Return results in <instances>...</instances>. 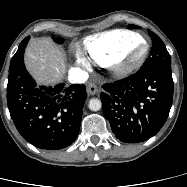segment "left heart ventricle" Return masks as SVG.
Here are the masks:
<instances>
[{"instance_id": "b2bd125f", "label": "left heart ventricle", "mask_w": 187, "mask_h": 187, "mask_svg": "<svg viewBox=\"0 0 187 187\" xmlns=\"http://www.w3.org/2000/svg\"><path fill=\"white\" fill-rule=\"evenodd\" d=\"M142 50H143V48H142V47H139V48L135 51L134 56H135V57L138 56V55L142 52Z\"/></svg>"}]
</instances>
